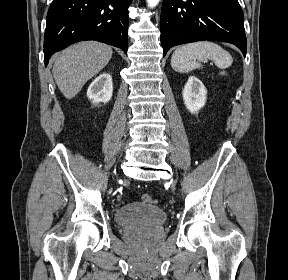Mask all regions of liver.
I'll list each match as a JSON object with an SVG mask.
<instances>
[{"label": "liver", "instance_id": "6515ba94", "mask_svg": "<svg viewBox=\"0 0 288 280\" xmlns=\"http://www.w3.org/2000/svg\"><path fill=\"white\" fill-rule=\"evenodd\" d=\"M112 53L110 46L95 41L80 42L63 50L52 70L61 93L67 99L75 97L109 63Z\"/></svg>", "mask_w": 288, "mask_h": 280}]
</instances>
